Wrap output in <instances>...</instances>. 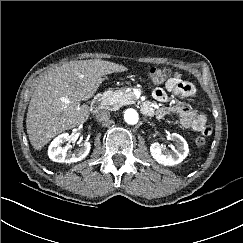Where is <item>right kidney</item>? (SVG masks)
Instances as JSON below:
<instances>
[{"instance_id":"obj_1","label":"right kidney","mask_w":243,"mask_h":243,"mask_svg":"<svg viewBox=\"0 0 243 243\" xmlns=\"http://www.w3.org/2000/svg\"><path fill=\"white\" fill-rule=\"evenodd\" d=\"M71 136L68 133H63L57 136L49 145L48 156L52 161L74 163L83 160L90 152L91 144L85 141L81 147L74 152L71 151L72 145L61 147V144L70 140Z\"/></svg>"}]
</instances>
